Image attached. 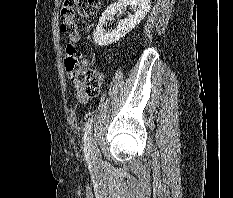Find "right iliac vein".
Masks as SVG:
<instances>
[{"instance_id": "right-iliac-vein-1", "label": "right iliac vein", "mask_w": 233, "mask_h": 198, "mask_svg": "<svg viewBox=\"0 0 233 198\" xmlns=\"http://www.w3.org/2000/svg\"><path fill=\"white\" fill-rule=\"evenodd\" d=\"M91 159L94 165H99L101 162V158L95 149L90 148Z\"/></svg>"}]
</instances>
